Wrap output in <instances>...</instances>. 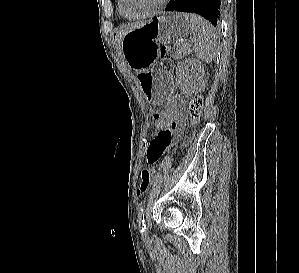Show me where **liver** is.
<instances>
[{
	"mask_svg": "<svg viewBox=\"0 0 299 273\" xmlns=\"http://www.w3.org/2000/svg\"><path fill=\"white\" fill-rule=\"evenodd\" d=\"M147 23L148 22H144V21L135 22V23H128V24L122 25L119 28V31L117 32L116 39H115V46H116V49L118 51V54H120L122 56V53H121V41H122V38L128 32H130L132 30H135V29H138V28H141V27L145 26Z\"/></svg>",
	"mask_w": 299,
	"mask_h": 273,
	"instance_id": "6515ba94",
	"label": "liver"
}]
</instances>
